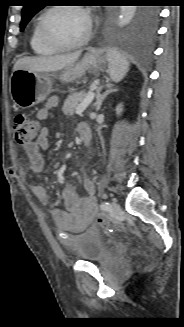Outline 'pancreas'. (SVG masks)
<instances>
[{
    "label": "pancreas",
    "mask_w": 184,
    "mask_h": 327,
    "mask_svg": "<svg viewBox=\"0 0 184 327\" xmlns=\"http://www.w3.org/2000/svg\"><path fill=\"white\" fill-rule=\"evenodd\" d=\"M88 94L84 91L76 92L70 94L67 99L64 102L62 111L65 115H72L76 111V109L79 107L83 99Z\"/></svg>",
    "instance_id": "pancreas-1"
}]
</instances>
